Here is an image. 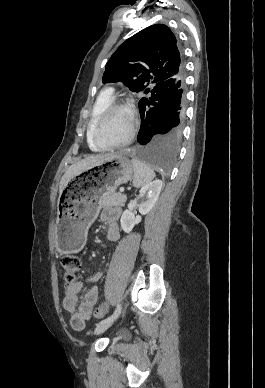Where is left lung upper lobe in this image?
<instances>
[{
    "mask_svg": "<svg viewBox=\"0 0 265 388\" xmlns=\"http://www.w3.org/2000/svg\"><path fill=\"white\" fill-rule=\"evenodd\" d=\"M184 72L175 35L166 25L154 24L119 46L105 66L102 81H120L130 90L150 96L158 84ZM152 84H156L154 88Z\"/></svg>",
    "mask_w": 265,
    "mask_h": 388,
    "instance_id": "obj_1",
    "label": "left lung upper lobe"
}]
</instances>
